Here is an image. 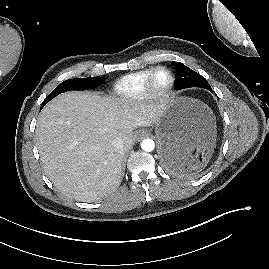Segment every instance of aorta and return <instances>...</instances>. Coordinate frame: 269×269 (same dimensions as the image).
Masks as SVG:
<instances>
[{"label":"aorta","mask_w":269,"mask_h":269,"mask_svg":"<svg viewBox=\"0 0 269 269\" xmlns=\"http://www.w3.org/2000/svg\"><path fill=\"white\" fill-rule=\"evenodd\" d=\"M141 149L145 152H152L155 148V143L152 139L146 138L141 142Z\"/></svg>","instance_id":"1"}]
</instances>
